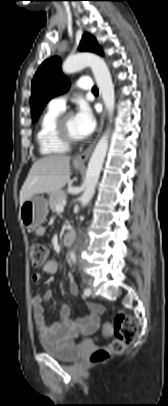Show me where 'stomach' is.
<instances>
[{"instance_id": "1", "label": "stomach", "mask_w": 168, "mask_h": 406, "mask_svg": "<svg viewBox=\"0 0 168 406\" xmlns=\"http://www.w3.org/2000/svg\"><path fill=\"white\" fill-rule=\"evenodd\" d=\"M76 169H81V165L74 164ZM48 214V203L40 196H33L25 201L19 210L21 223L28 229L39 227Z\"/></svg>"}]
</instances>
